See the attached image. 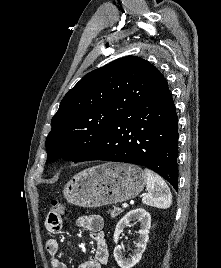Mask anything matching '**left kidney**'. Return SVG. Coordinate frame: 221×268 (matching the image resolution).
Segmentation results:
<instances>
[{"instance_id": "5707ae66", "label": "left kidney", "mask_w": 221, "mask_h": 268, "mask_svg": "<svg viewBox=\"0 0 221 268\" xmlns=\"http://www.w3.org/2000/svg\"><path fill=\"white\" fill-rule=\"evenodd\" d=\"M137 220L140 222L139 238L136 244V250L130 255L129 258L123 256V251L119 245H116L114 248V258L117 264L121 268H131L136 265L141 257L143 252L146 249V245L149 239V229L151 227V216L150 214L142 208L134 209L129 211L116 225L114 232V242L117 244L119 241L120 234L123 232V229L132 221Z\"/></svg>"}]
</instances>
